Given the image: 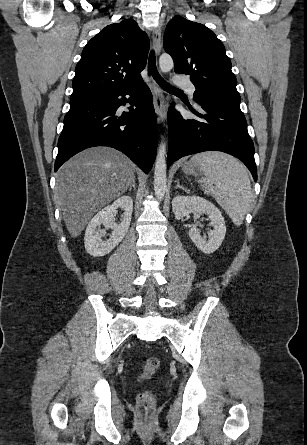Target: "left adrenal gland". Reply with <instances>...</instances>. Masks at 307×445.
I'll use <instances>...</instances> for the list:
<instances>
[{
  "label": "left adrenal gland",
  "mask_w": 307,
  "mask_h": 445,
  "mask_svg": "<svg viewBox=\"0 0 307 445\" xmlns=\"http://www.w3.org/2000/svg\"><path fill=\"white\" fill-rule=\"evenodd\" d=\"M175 182H177L175 188H183V190H187V188H184V186H181L179 180H175Z\"/></svg>",
  "instance_id": "a2214340"
}]
</instances>
